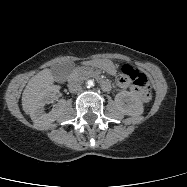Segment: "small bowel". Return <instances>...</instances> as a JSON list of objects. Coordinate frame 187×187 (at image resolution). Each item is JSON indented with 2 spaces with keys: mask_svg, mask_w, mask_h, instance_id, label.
<instances>
[{
  "mask_svg": "<svg viewBox=\"0 0 187 187\" xmlns=\"http://www.w3.org/2000/svg\"><path fill=\"white\" fill-rule=\"evenodd\" d=\"M117 85L120 88H123V89L130 88V90L133 93H135L136 95H138L140 97V93L138 92V90L133 85H131L130 80L122 78V77H118V79H117Z\"/></svg>",
  "mask_w": 187,
  "mask_h": 187,
  "instance_id": "small-bowel-1",
  "label": "small bowel"
}]
</instances>
